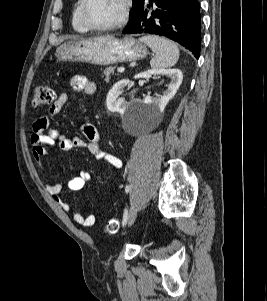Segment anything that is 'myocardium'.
<instances>
[{"label":"myocardium","mask_w":267,"mask_h":301,"mask_svg":"<svg viewBox=\"0 0 267 301\" xmlns=\"http://www.w3.org/2000/svg\"><path fill=\"white\" fill-rule=\"evenodd\" d=\"M88 4H89V0H82V4H81L82 21L89 30L99 31V32L113 31L124 26L128 21L131 12V7H132L131 0H122L123 8H122L121 15L117 21L107 25H95L88 18L87 15Z\"/></svg>","instance_id":"obj_1"}]
</instances>
